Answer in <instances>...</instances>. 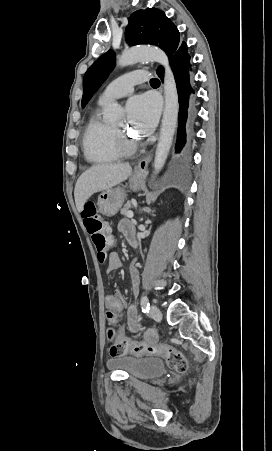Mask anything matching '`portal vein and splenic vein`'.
<instances>
[{"mask_svg": "<svg viewBox=\"0 0 272 451\" xmlns=\"http://www.w3.org/2000/svg\"><path fill=\"white\" fill-rule=\"evenodd\" d=\"M127 218H133V212H131V210L127 212Z\"/></svg>", "mask_w": 272, "mask_h": 451, "instance_id": "obj_1", "label": "portal vein and splenic vein"}]
</instances>
